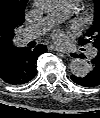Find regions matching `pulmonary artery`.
<instances>
[{
	"label": "pulmonary artery",
	"mask_w": 100,
	"mask_h": 118,
	"mask_svg": "<svg viewBox=\"0 0 100 118\" xmlns=\"http://www.w3.org/2000/svg\"><path fill=\"white\" fill-rule=\"evenodd\" d=\"M80 0H61V8L60 11L54 15L47 16L40 20L39 22L28 26L24 32L25 40H33L39 37L42 33H44L48 28H50L54 23L65 19L69 15H71L77 8ZM96 50L91 48L89 50V54L94 56Z\"/></svg>",
	"instance_id": "e3ab8cb5"
}]
</instances>
